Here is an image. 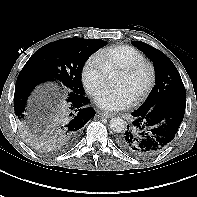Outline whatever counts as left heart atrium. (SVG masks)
Returning <instances> with one entry per match:
<instances>
[{"instance_id":"obj_1","label":"left heart atrium","mask_w":197,"mask_h":197,"mask_svg":"<svg viewBox=\"0 0 197 197\" xmlns=\"http://www.w3.org/2000/svg\"><path fill=\"white\" fill-rule=\"evenodd\" d=\"M134 98L123 87L106 88L95 97L96 104L106 110H121L128 107Z\"/></svg>"}]
</instances>
